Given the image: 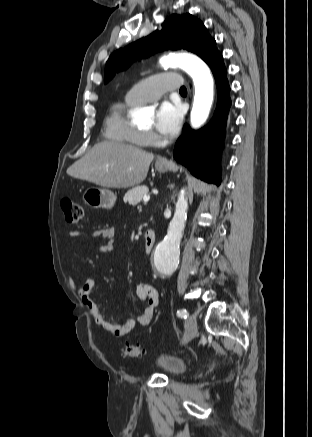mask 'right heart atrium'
I'll list each match as a JSON object with an SVG mask.
<instances>
[{"label":"right heart atrium","mask_w":312,"mask_h":437,"mask_svg":"<svg viewBox=\"0 0 312 437\" xmlns=\"http://www.w3.org/2000/svg\"><path fill=\"white\" fill-rule=\"evenodd\" d=\"M145 137H146L147 141H152V139H153L154 136H153L152 133H149V132H148V133L145 134Z\"/></svg>","instance_id":"d8ad5b80"}]
</instances>
